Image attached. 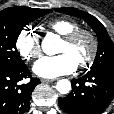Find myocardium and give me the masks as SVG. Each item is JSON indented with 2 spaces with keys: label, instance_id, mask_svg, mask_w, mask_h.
<instances>
[{
  "label": "myocardium",
  "instance_id": "1",
  "mask_svg": "<svg viewBox=\"0 0 114 114\" xmlns=\"http://www.w3.org/2000/svg\"><path fill=\"white\" fill-rule=\"evenodd\" d=\"M82 38H86L89 41L90 51L88 55L78 63V65L81 68H87L93 63L97 56L99 44L96 36L87 29L77 28L69 32L68 34L64 35L63 41L66 42L68 45L72 46Z\"/></svg>",
  "mask_w": 114,
  "mask_h": 114
}]
</instances>
